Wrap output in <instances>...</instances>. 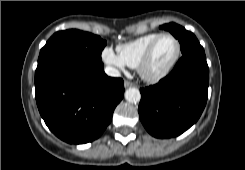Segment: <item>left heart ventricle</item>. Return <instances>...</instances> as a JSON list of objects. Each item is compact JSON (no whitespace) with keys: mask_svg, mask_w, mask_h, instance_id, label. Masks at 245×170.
I'll return each mask as SVG.
<instances>
[{"mask_svg":"<svg viewBox=\"0 0 245 170\" xmlns=\"http://www.w3.org/2000/svg\"><path fill=\"white\" fill-rule=\"evenodd\" d=\"M175 52V44L170 37H164L157 43L152 57L147 65L150 72H158L172 59Z\"/></svg>","mask_w":245,"mask_h":170,"instance_id":"obj_1","label":"left heart ventricle"}]
</instances>
